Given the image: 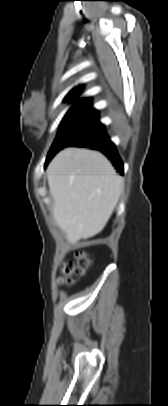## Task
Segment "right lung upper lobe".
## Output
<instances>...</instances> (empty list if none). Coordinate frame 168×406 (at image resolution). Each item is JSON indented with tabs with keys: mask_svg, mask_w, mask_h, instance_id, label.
I'll return each mask as SVG.
<instances>
[{
	"mask_svg": "<svg viewBox=\"0 0 168 406\" xmlns=\"http://www.w3.org/2000/svg\"><path fill=\"white\" fill-rule=\"evenodd\" d=\"M80 89H81V86L76 87L75 89H73V90L66 96L65 99H69V98H71V97H74ZM90 105H91V104H90V99L87 98V99H81V100L77 101V102L72 106V108H73V107L90 106Z\"/></svg>",
	"mask_w": 168,
	"mask_h": 406,
	"instance_id": "right-lung-upper-lobe-1",
	"label": "right lung upper lobe"
}]
</instances>
